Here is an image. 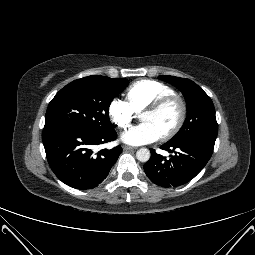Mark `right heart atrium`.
Listing matches in <instances>:
<instances>
[{
	"label": "right heart atrium",
	"mask_w": 255,
	"mask_h": 255,
	"mask_svg": "<svg viewBox=\"0 0 255 255\" xmlns=\"http://www.w3.org/2000/svg\"><path fill=\"white\" fill-rule=\"evenodd\" d=\"M108 114L111 121L120 129H126L135 117V112L129 104L118 98L109 103Z\"/></svg>",
	"instance_id": "1"
}]
</instances>
